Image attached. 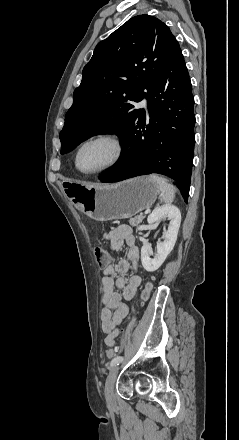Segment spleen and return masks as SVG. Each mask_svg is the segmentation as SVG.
Returning <instances> with one entry per match:
<instances>
[{"instance_id":"1","label":"spleen","mask_w":239,"mask_h":440,"mask_svg":"<svg viewBox=\"0 0 239 440\" xmlns=\"http://www.w3.org/2000/svg\"><path fill=\"white\" fill-rule=\"evenodd\" d=\"M150 178L153 180V182H156L160 188L161 202H165V204H172L177 188H175V186H171V184H168V180H165V178H160L158 174H151Z\"/></svg>"}]
</instances>
